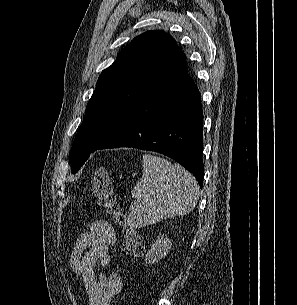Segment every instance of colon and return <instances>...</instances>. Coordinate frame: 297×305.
<instances>
[{
  "instance_id": "obj_1",
  "label": "colon",
  "mask_w": 297,
  "mask_h": 305,
  "mask_svg": "<svg viewBox=\"0 0 297 305\" xmlns=\"http://www.w3.org/2000/svg\"><path fill=\"white\" fill-rule=\"evenodd\" d=\"M93 193L97 204L120 226H125V214L120 206L114 186L106 166L96 167L93 175ZM144 241L142 235L132 229L124 228L121 251L123 256L136 258L142 255Z\"/></svg>"
}]
</instances>
